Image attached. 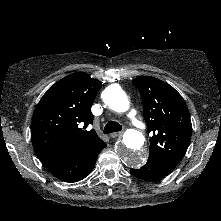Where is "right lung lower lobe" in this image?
Wrapping results in <instances>:
<instances>
[{"label": "right lung lower lobe", "mask_w": 221, "mask_h": 221, "mask_svg": "<svg viewBox=\"0 0 221 221\" xmlns=\"http://www.w3.org/2000/svg\"><path fill=\"white\" fill-rule=\"evenodd\" d=\"M106 147L104 141L85 148L78 154L66 159L45 163L44 166L58 179L77 182L88 176L95 166L98 154Z\"/></svg>", "instance_id": "1"}]
</instances>
